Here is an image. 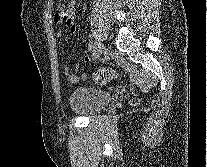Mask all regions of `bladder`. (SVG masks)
Wrapping results in <instances>:
<instances>
[{"label":"bladder","instance_id":"31cf9c89","mask_svg":"<svg viewBox=\"0 0 207 167\" xmlns=\"http://www.w3.org/2000/svg\"><path fill=\"white\" fill-rule=\"evenodd\" d=\"M112 99L108 91L93 87H78L70 94L68 104L73 112L90 115L105 108Z\"/></svg>","mask_w":207,"mask_h":167}]
</instances>
